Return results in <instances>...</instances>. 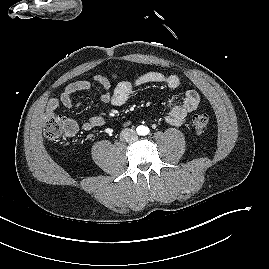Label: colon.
I'll return each instance as SVG.
<instances>
[{
	"label": "colon",
	"instance_id": "5ec220e1",
	"mask_svg": "<svg viewBox=\"0 0 269 269\" xmlns=\"http://www.w3.org/2000/svg\"><path fill=\"white\" fill-rule=\"evenodd\" d=\"M209 117L206 113H198L193 116L192 127L197 135H202L208 128ZM71 129L68 119L58 116L52 112L45 115L43 131L48 138H59L67 135Z\"/></svg>",
	"mask_w": 269,
	"mask_h": 269
}]
</instances>
